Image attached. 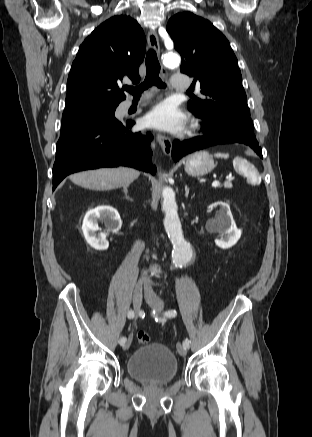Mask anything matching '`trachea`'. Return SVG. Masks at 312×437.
<instances>
[{
	"label": "trachea",
	"mask_w": 312,
	"mask_h": 437,
	"mask_svg": "<svg viewBox=\"0 0 312 437\" xmlns=\"http://www.w3.org/2000/svg\"><path fill=\"white\" fill-rule=\"evenodd\" d=\"M146 77L143 83H141L137 87H126V91L131 93L134 97L139 96L144 90L148 89L152 85L157 86L158 88H165L166 85L163 83L159 77L160 73V64L157 59V55L153 49L148 51L146 60ZM188 94H192V91L188 90Z\"/></svg>",
	"instance_id": "1"
}]
</instances>
